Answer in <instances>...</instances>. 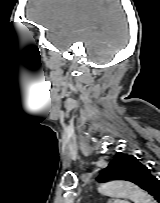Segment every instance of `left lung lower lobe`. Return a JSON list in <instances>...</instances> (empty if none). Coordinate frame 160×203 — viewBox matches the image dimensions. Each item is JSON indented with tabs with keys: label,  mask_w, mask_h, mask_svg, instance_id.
I'll use <instances>...</instances> for the list:
<instances>
[{
	"label": "left lung lower lobe",
	"mask_w": 160,
	"mask_h": 203,
	"mask_svg": "<svg viewBox=\"0 0 160 203\" xmlns=\"http://www.w3.org/2000/svg\"><path fill=\"white\" fill-rule=\"evenodd\" d=\"M149 194L153 197L155 202L160 203V179L156 178L150 188Z\"/></svg>",
	"instance_id": "left-lung-lower-lobe-1"
}]
</instances>
